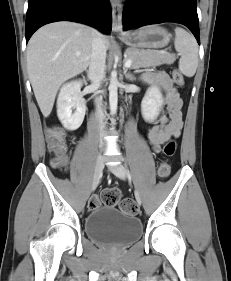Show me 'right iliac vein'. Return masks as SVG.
I'll use <instances>...</instances> for the list:
<instances>
[{"mask_svg":"<svg viewBox=\"0 0 231 281\" xmlns=\"http://www.w3.org/2000/svg\"><path fill=\"white\" fill-rule=\"evenodd\" d=\"M103 168H104V157H103L102 153H100L97 157V161L95 164L94 177H93V182H92L93 191L96 189V187L99 184Z\"/></svg>","mask_w":231,"mask_h":281,"instance_id":"63e3f726","label":"right iliac vein"}]
</instances>
